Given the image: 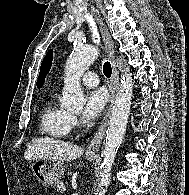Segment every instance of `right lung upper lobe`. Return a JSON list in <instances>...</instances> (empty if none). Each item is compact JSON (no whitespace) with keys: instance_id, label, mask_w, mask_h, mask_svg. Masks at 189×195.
Instances as JSON below:
<instances>
[{"instance_id":"1","label":"right lung upper lobe","mask_w":189,"mask_h":195,"mask_svg":"<svg viewBox=\"0 0 189 195\" xmlns=\"http://www.w3.org/2000/svg\"><path fill=\"white\" fill-rule=\"evenodd\" d=\"M52 55L53 52L52 50H49L48 53L46 54V56L43 59V62L41 64V68H40V73L38 76V81H37V87L40 88L45 81V77L48 74L50 68H51V64H52Z\"/></svg>"}]
</instances>
